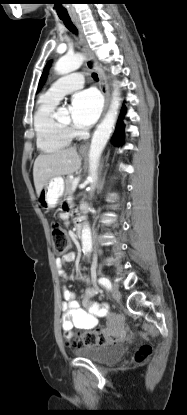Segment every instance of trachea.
<instances>
[{
    "label": "trachea",
    "mask_w": 187,
    "mask_h": 415,
    "mask_svg": "<svg viewBox=\"0 0 187 415\" xmlns=\"http://www.w3.org/2000/svg\"><path fill=\"white\" fill-rule=\"evenodd\" d=\"M64 25L73 33L77 34V29L75 27V25L72 23L71 19H62ZM92 77L94 80L98 81V75L96 73L92 74Z\"/></svg>",
    "instance_id": "3493384b"
}]
</instances>
